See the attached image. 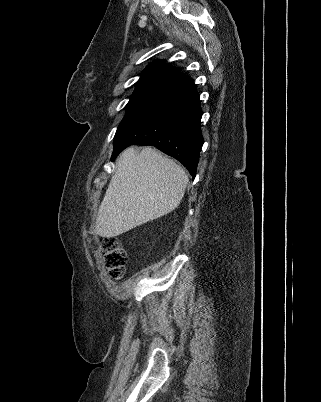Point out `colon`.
<instances>
[{"label":"colon","mask_w":321,"mask_h":402,"mask_svg":"<svg viewBox=\"0 0 321 402\" xmlns=\"http://www.w3.org/2000/svg\"><path fill=\"white\" fill-rule=\"evenodd\" d=\"M101 249L109 276L114 280L120 279L125 272L127 263V254L120 241L115 237L104 238Z\"/></svg>","instance_id":"obj_1"}]
</instances>
